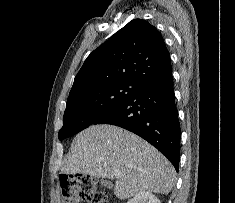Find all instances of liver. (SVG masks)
<instances>
[{
  "mask_svg": "<svg viewBox=\"0 0 235 203\" xmlns=\"http://www.w3.org/2000/svg\"><path fill=\"white\" fill-rule=\"evenodd\" d=\"M61 172L115 178L114 193L121 200L143 192L168 194L176 176L156 148L132 132L107 124L90 126L75 137Z\"/></svg>",
  "mask_w": 235,
  "mask_h": 203,
  "instance_id": "6515ba94",
  "label": "liver"
}]
</instances>
